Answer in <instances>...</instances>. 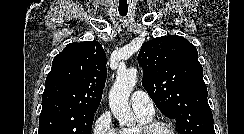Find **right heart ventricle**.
Here are the masks:
<instances>
[{
	"label": "right heart ventricle",
	"instance_id": "right-heart-ventricle-1",
	"mask_svg": "<svg viewBox=\"0 0 244 134\" xmlns=\"http://www.w3.org/2000/svg\"><path fill=\"white\" fill-rule=\"evenodd\" d=\"M139 120V126L152 120V116H146L140 113H136ZM139 126L135 128H122L117 131V134H137Z\"/></svg>",
	"mask_w": 244,
	"mask_h": 134
}]
</instances>
